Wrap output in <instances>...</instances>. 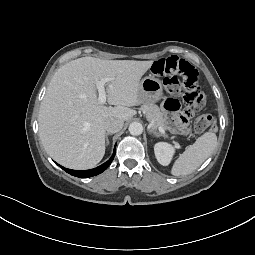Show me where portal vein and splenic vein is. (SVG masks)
Masks as SVG:
<instances>
[{
    "label": "portal vein and splenic vein",
    "mask_w": 255,
    "mask_h": 255,
    "mask_svg": "<svg viewBox=\"0 0 255 255\" xmlns=\"http://www.w3.org/2000/svg\"><path fill=\"white\" fill-rule=\"evenodd\" d=\"M111 80H112V78H107L106 80L98 81L96 83V88L99 93L98 101L101 104H105L106 99H107L104 85L106 82L111 81ZM158 129H159V132H161L162 134H165V130L162 127H159Z\"/></svg>",
    "instance_id": "1"
}]
</instances>
